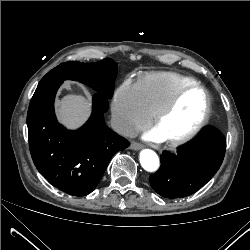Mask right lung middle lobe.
<instances>
[{
  "label": "right lung middle lobe",
  "mask_w": 250,
  "mask_h": 250,
  "mask_svg": "<svg viewBox=\"0 0 250 250\" xmlns=\"http://www.w3.org/2000/svg\"><path fill=\"white\" fill-rule=\"evenodd\" d=\"M116 76L117 64L109 58L96 63L69 61L48 72L39 85L51 81L75 80L91 86L98 92L97 94L110 99L114 92Z\"/></svg>",
  "instance_id": "obj_1"
}]
</instances>
